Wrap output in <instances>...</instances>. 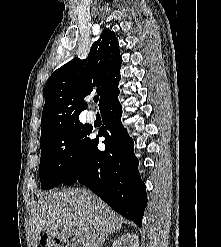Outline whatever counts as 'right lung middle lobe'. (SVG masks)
Here are the masks:
<instances>
[{
  "instance_id": "right-lung-middle-lobe-1",
  "label": "right lung middle lobe",
  "mask_w": 221,
  "mask_h": 247,
  "mask_svg": "<svg viewBox=\"0 0 221 247\" xmlns=\"http://www.w3.org/2000/svg\"><path fill=\"white\" fill-rule=\"evenodd\" d=\"M90 132L87 125L77 121L41 137L39 175L43 190L62 184L67 178L85 155Z\"/></svg>"
}]
</instances>
